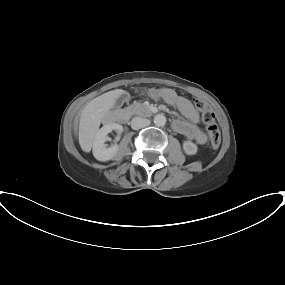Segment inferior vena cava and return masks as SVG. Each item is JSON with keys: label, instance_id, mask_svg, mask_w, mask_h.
<instances>
[{"label": "inferior vena cava", "instance_id": "inferior-vena-cava-1", "mask_svg": "<svg viewBox=\"0 0 285 285\" xmlns=\"http://www.w3.org/2000/svg\"><path fill=\"white\" fill-rule=\"evenodd\" d=\"M150 125V120L142 117H134L131 121V127L134 130L146 127Z\"/></svg>", "mask_w": 285, "mask_h": 285}]
</instances>
